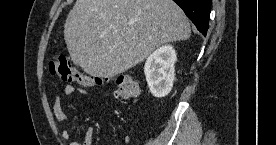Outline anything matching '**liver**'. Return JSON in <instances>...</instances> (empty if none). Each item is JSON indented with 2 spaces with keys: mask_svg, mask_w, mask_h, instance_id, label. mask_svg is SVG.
<instances>
[{
  "mask_svg": "<svg viewBox=\"0 0 276 145\" xmlns=\"http://www.w3.org/2000/svg\"><path fill=\"white\" fill-rule=\"evenodd\" d=\"M190 34L189 20L173 0H76L64 24L72 61L100 78L121 74Z\"/></svg>",
  "mask_w": 276,
  "mask_h": 145,
  "instance_id": "obj_1",
  "label": "liver"
}]
</instances>
